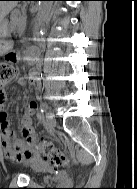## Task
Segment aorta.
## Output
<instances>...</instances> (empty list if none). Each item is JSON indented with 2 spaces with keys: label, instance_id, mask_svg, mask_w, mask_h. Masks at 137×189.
<instances>
[{
  "label": "aorta",
  "instance_id": "1",
  "mask_svg": "<svg viewBox=\"0 0 137 189\" xmlns=\"http://www.w3.org/2000/svg\"><path fill=\"white\" fill-rule=\"evenodd\" d=\"M52 1H40L38 6L37 20L39 26L42 27L45 25L49 18V14L52 8Z\"/></svg>",
  "mask_w": 137,
  "mask_h": 189
}]
</instances>
